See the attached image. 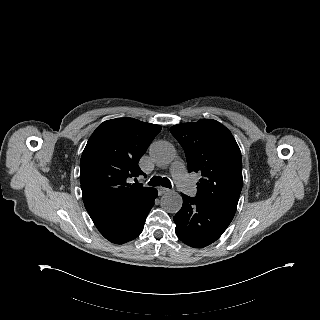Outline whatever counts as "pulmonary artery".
I'll return each instance as SVG.
<instances>
[{
  "label": "pulmonary artery",
  "instance_id": "e3ab8cb5",
  "mask_svg": "<svg viewBox=\"0 0 320 320\" xmlns=\"http://www.w3.org/2000/svg\"><path fill=\"white\" fill-rule=\"evenodd\" d=\"M171 174L179 187L186 189L189 195H195L194 185L190 180L185 164L181 159L174 161L171 167Z\"/></svg>",
  "mask_w": 320,
  "mask_h": 320
}]
</instances>
